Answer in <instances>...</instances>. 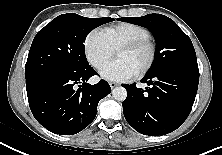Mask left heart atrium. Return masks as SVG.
I'll return each instance as SVG.
<instances>
[{
  "label": "left heart atrium",
  "instance_id": "left-heart-atrium-1",
  "mask_svg": "<svg viewBox=\"0 0 222 155\" xmlns=\"http://www.w3.org/2000/svg\"><path fill=\"white\" fill-rule=\"evenodd\" d=\"M100 74L104 79L110 81H126L135 76L132 68L119 59L104 66Z\"/></svg>",
  "mask_w": 222,
  "mask_h": 155
}]
</instances>
